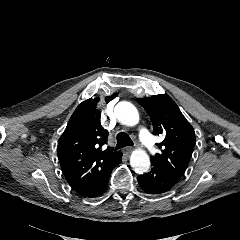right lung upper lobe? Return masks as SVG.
<instances>
[{"label":"right lung upper lobe","mask_w":240,"mask_h":240,"mask_svg":"<svg viewBox=\"0 0 240 240\" xmlns=\"http://www.w3.org/2000/svg\"><path fill=\"white\" fill-rule=\"evenodd\" d=\"M118 94L105 98L108 103ZM99 98L83 101L72 114L58 141V158L70 186L81 196H87L117 166L120 151L104 149L108 132L100 123L97 109Z\"/></svg>","instance_id":"1"}]
</instances>
